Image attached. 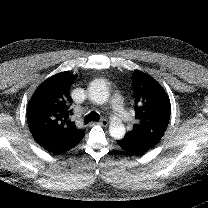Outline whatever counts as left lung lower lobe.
<instances>
[{
    "label": "left lung lower lobe",
    "instance_id": "obj_1",
    "mask_svg": "<svg viewBox=\"0 0 208 208\" xmlns=\"http://www.w3.org/2000/svg\"><path fill=\"white\" fill-rule=\"evenodd\" d=\"M118 145L127 153L133 154V155H142L151 148L146 147L145 145L132 141L127 138H123L119 141H117Z\"/></svg>",
    "mask_w": 208,
    "mask_h": 208
}]
</instances>
